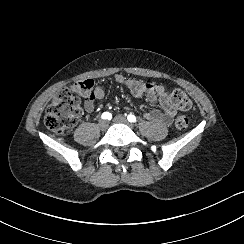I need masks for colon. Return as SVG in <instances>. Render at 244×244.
Listing matches in <instances>:
<instances>
[{
	"instance_id": "colon-1",
	"label": "colon",
	"mask_w": 244,
	"mask_h": 244,
	"mask_svg": "<svg viewBox=\"0 0 244 244\" xmlns=\"http://www.w3.org/2000/svg\"><path fill=\"white\" fill-rule=\"evenodd\" d=\"M93 85V80L87 78L62 89L47 108L45 115L46 126L59 133L75 127L79 121L81 99L92 96ZM169 99L174 106L184 112L192 109L191 100L181 90H171ZM188 124L189 119L186 114H179L174 120L175 128L180 131L186 130Z\"/></svg>"
}]
</instances>
